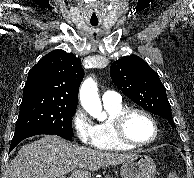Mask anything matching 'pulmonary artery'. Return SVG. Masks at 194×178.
Wrapping results in <instances>:
<instances>
[{
	"label": "pulmonary artery",
	"mask_w": 194,
	"mask_h": 178,
	"mask_svg": "<svg viewBox=\"0 0 194 178\" xmlns=\"http://www.w3.org/2000/svg\"><path fill=\"white\" fill-rule=\"evenodd\" d=\"M102 101L103 103H116V102H120L121 98L119 94L114 91H106L102 95Z\"/></svg>",
	"instance_id": "obj_1"
}]
</instances>
